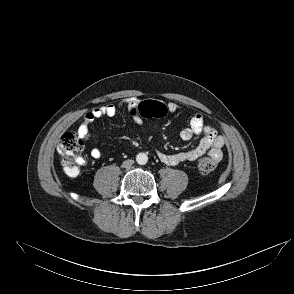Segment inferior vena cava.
<instances>
[{
	"label": "inferior vena cava",
	"instance_id": "1",
	"mask_svg": "<svg viewBox=\"0 0 294 294\" xmlns=\"http://www.w3.org/2000/svg\"><path fill=\"white\" fill-rule=\"evenodd\" d=\"M133 163H134V160H132V159L125 160L122 163L121 167H123V168H129V167H131L133 165Z\"/></svg>",
	"mask_w": 294,
	"mask_h": 294
}]
</instances>
